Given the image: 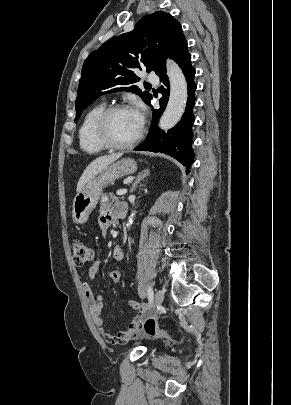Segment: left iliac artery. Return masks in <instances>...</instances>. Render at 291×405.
<instances>
[{"label":"left iliac artery","instance_id":"left-iliac-artery-1","mask_svg":"<svg viewBox=\"0 0 291 405\" xmlns=\"http://www.w3.org/2000/svg\"><path fill=\"white\" fill-rule=\"evenodd\" d=\"M153 295H154L153 289H152V287H149L148 288V300H149L150 305L153 302Z\"/></svg>","mask_w":291,"mask_h":405}]
</instances>
